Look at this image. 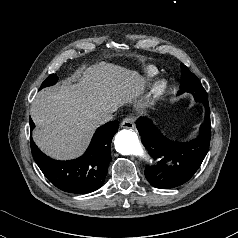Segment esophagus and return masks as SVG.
Listing matches in <instances>:
<instances>
[{
	"label": "esophagus",
	"mask_w": 238,
	"mask_h": 238,
	"mask_svg": "<svg viewBox=\"0 0 238 238\" xmlns=\"http://www.w3.org/2000/svg\"><path fill=\"white\" fill-rule=\"evenodd\" d=\"M121 127L126 129H133L134 128V121L132 117H126L121 122Z\"/></svg>",
	"instance_id": "1"
}]
</instances>
